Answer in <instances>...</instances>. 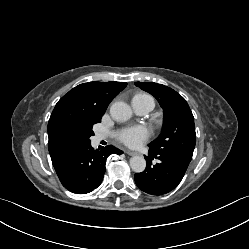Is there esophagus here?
<instances>
[{"instance_id": "obj_1", "label": "esophagus", "mask_w": 249, "mask_h": 249, "mask_svg": "<svg viewBox=\"0 0 249 249\" xmlns=\"http://www.w3.org/2000/svg\"><path fill=\"white\" fill-rule=\"evenodd\" d=\"M125 153L128 154V155H130V156L137 155V152L130 151V150H126Z\"/></svg>"}]
</instances>
